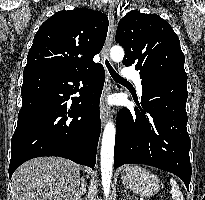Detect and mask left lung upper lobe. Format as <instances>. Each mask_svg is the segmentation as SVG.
I'll return each instance as SVG.
<instances>
[{
	"mask_svg": "<svg viewBox=\"0 0 205 200\" xmlns=\"http://www.w3.org/2000/svg\"><path fill=\"white\" fill-rule=\"evenodd\" d=\"M115 40L125 50L123 64L135 65L140 78L185 72V57L178 36L156 14L128 12L118 23Z\"/></svg>",
	"mask_w": 205,
	"mask_h": 200,
	"instance_id": "left-lung-upper-lobe-1",
	"label": "left lung upper lobe"
}]
</instances>
